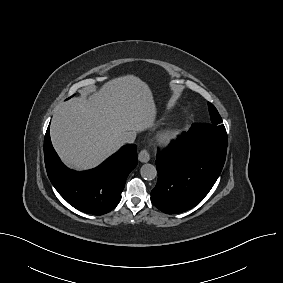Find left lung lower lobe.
Listing matches in <instances>:
<instances>
[{"instance_id":"left-lung-lower-lobe-1","label":"left lung lower lobe","mask_w":283,"mask_h":283,"mask_svg":"<svg viewBox=\"0 0 283 283\" xmlns=\"http://www.w3.org/2000/svg\"><path fill=\"white\" fill-rule=\"evenodd\" d=\"M226 130L193 124L157 154L158 181L152 203L162 212L177 214L199 204L218 179L227 152Z\"/></svg>"}]
</instances>
